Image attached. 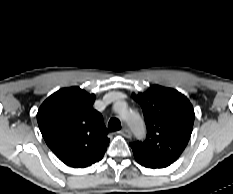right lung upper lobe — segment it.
I'll use <instances>...</instances> for the list:
<instances>
[{"label":"right lung upper lobe","instance_id":"1","mask_svg":"<svg viewBox=\"0 0 233 194\" xmlns=\"http://www.w3.org/2000/svg\"><path fill=\"white\" fill-rule=\"evenodd\" d=\"M94 94L79 87L58 90L40 106L37 121L49 148L67 166L98 162L109 144L102 115L93 109Z\"/></svg>","mask_w":233,"mask_h":194}]
</instances>
